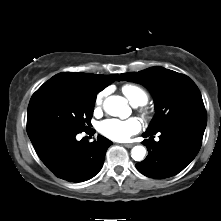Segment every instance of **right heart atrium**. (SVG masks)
<instances>
[{"label": "right heart atrium", "instance_id": "obj_1", "mask_svg": "<svg viewBox=\"0 0 221 221\" xmlns=\"http://www.w3.org/2000/svg\"><path fill=\"white\" fill-rule=\"evenodd\" d=\"M105 96H106V91H102L96 96L95 107L97 110H99L101 108Z\"/></svg>", "mask_w": 221, "mask_h": 221}]
</instances>
